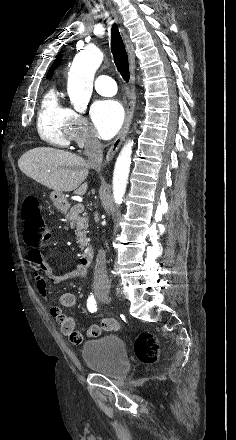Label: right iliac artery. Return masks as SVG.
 <instances>
[{"mask_svg":"<svg viewBox=\"0 0 236 440\" xmlns=\"http://www.w3.org/2000/svg\"><path fill=\"white\" fill-rule=\"evenodd\" d=\"M87 308L89 310V312L94 313L97 311V304H96V300L94 298V295L91 293V295L88 297L87 300Z\"/></svg>","mask_w":236,"mask_h":440,"instance_id":"82829eb1","label":"right iliac artery"}]
</instances>
